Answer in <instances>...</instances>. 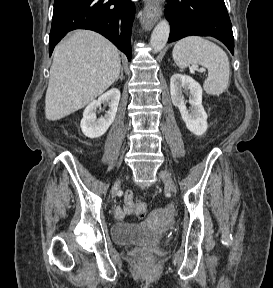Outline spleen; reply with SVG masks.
<instances>
[{"label":"spleen","instance_id":"spleen-1","mask_svg":"<svg viewBox=\"0 0 273 288\" xmlns=\"http://www.w3.org/2000/svg\"><path fill=\"white\" fill-rule=\"evenodd\" d=\"M178 67L202 65L208 69L203 88L207 94L220 95L229 83L230 66L227 54L215 43L199 36H189L178 41L172 52Z\"/></svg>","mask_w":273,"mask_h":288}]
</instances>
